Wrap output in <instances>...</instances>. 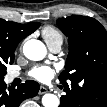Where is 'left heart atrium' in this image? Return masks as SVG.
Here are the masks:
<instances>
[{"mask_svg":"<svg viewBox=\"0 0 107 107\" xmlns=\"http://www.w3.org/2000/svg\"><path fill=\"white\" fill-rule=\"evenodd\" d=\"M29 75L40 82H47L53 77V70L49 66H38L33 68Z\"/></svg>","mask_w":107,"mask_h":107,"instance_id":"1","label":"left heart atrium"}]
</instances>
